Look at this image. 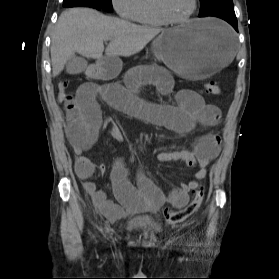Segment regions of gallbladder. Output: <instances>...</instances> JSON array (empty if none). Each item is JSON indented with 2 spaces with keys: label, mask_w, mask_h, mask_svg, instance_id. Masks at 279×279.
<instances>
[{
  "label": "gallbladder",
  "mask_w": 279,
  "mask_h": 279,
  "mask_svg": "<svg viewBox=\"0 0 279 279\" xmlns=\"http://www.w3.org/2000/svg\"><path fill=\"white\" fill-rule=\"evenodd\" d=\"M87 66L88 63L83 57L73 56L66 63V72L71 75L80 74L86 70Z\"/></svg>",
  "instance_id": "1"
}]
</instances>
